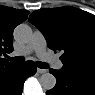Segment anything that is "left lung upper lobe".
<instances>
[{"label": "left lung upper lobe", "mask_w": 95, "mask_h": 95, "mask_svg": "<svg viewBox=\"0 0 95 95\" xmlns=\"http://www.w3.org/2000/svg\"><path fill=\"white\" fill-rule=\"evenodd\" d=\"M29 21L44 34L49 48L64 52V69L95 75L94 15L65 6L37 10Z\"/></svg>", "instance_id": "left-lung-upper-lobe-1"}]
</instances>
